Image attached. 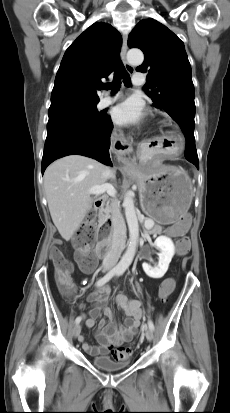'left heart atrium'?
<instances>
[{
  "label": "left heart atrium",
  "instance_id": "1",
  "mask_svg": "<svg viewBox=\"0 0 230 413\" xmlns=\"http://www.w3.org/2000/svg\"><path fill=\"white\" fill-rule=\"evenodd\" d=\"M143 115L142 104L136 99H128L112 111L113 121L121 126L137 124L142 120Z\"/></svg>",
  "mask_w": 230,
  "mask_h": 413
}]
</instances>
